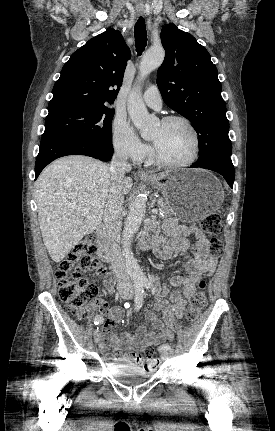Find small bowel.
Returning a JSON list of instances; mask_svg holds the SVG:
<instances>
[{"label":"small bowel","instance_id":"c3829d8e","mask_svg":"<svg viewBox=\"0 0 275 431\" xmlns=\"http://www.w3.org/2000/svg\"><path fill=\"white\" fill-rule=\"evenodd\" d=\"M163 229L171 240L162 236L153 240L154 251L159 258L168 259L173 253L186 251L190 246L191 236L195 238V257L187 262L186 275L171 278V286L179 289L171 293L169 301L160 300L153 310L145 314V322L138 327L134 335L111 333L110 330L122 322L124 311L119 306L106 310L108 319L101 336L100 349L111 362H138L145 348H153L172 339L176 324L186 307L187 298L195 293L203 276L212 275L215 271L217 261L208 254L209 242L202 231L194 226L178 224L174 219L166 220ZM104 285L109 293L114 292V278L111 275L104 278Z\"/></svg>","mask_w":275,"mask_h":431}]
</instances>
